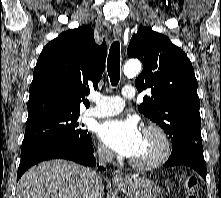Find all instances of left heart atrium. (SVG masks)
I'll use <instances>...</instances> for the list:
<instances>
[{
  "label": "left heart atrium",
  "instance_id": "left-heart-atrium-1",
  "mask_svg": "<svg viewBox=\"0 0 221 198\" xmlns=\"http://www.w3.org/2000/svg\"><path fill=\"white\" fill-rule=\"evenodd\" d=\"M99 138L117 153L131 157L139 146L142 133L132 119H111L98 126Z\"/></svg>",
  "mask_w": 221,
  "mask_h": 198
}]
</instances>
